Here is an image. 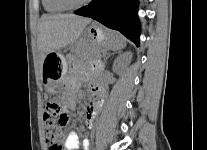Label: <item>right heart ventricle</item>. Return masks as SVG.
Instances as JSON below:
<instances>
[{"instance_id": "right-heart-ventricle-1", "label": "right heart ventricle", "mask_w": 207, "mask_h": 150, "mask_svg": "<svg viewBox=\"0 0 207 150\" xmlns=\"http://www.w3.org/2000/svg\"><path fill=\"white\" fill-rule=\"evenodd\" d=\"M42 4L45 11L51 14L62 13L67 9L58 0H42Z\"/></svg>"}]
</instances>
